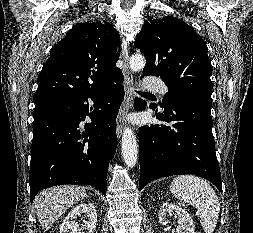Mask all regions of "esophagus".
Segmentation results:
<instances>
[{"label": "esophagus", "mask_w": 253, "mask_h": 233, "mask_svg": "<svg viewBox=\"0 0 253 233\" xmlns=\"http://www.w3.org/2000/svg\"><path fill=\"white\" fill-rule=\"evenodd\" d=\"M121 59L123 62L122 71L124 75V100L120 107L117 121H116V133L117 137L120 138L122 134L123 125L125 122V117L129 109L133 105V75L129 67V43L123 39L122 41V54Z\"/></svg>", "instance_id": "34e87169"}]
</instances>
